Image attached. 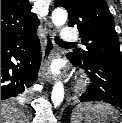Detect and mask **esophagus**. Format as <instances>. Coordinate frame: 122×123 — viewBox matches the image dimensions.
<instances>
[{"label": "esophagus", "instance_id": "1", "mask_svg": "<svg viewBox=\"0 0 122 123\" xmlns=\"http://www.w3.org/2000/svg\"><path fill=\"white\" fill-rule=\"evenodd\" d=\"M54 35V26L49 21H46L44 32V49L41 63V77L46 82L50 83L55 81V76L50 73L48 68L49 63L55 54Z\"/></svg>", "mask_w": 122, "mask_h": 123}]
</instances>
